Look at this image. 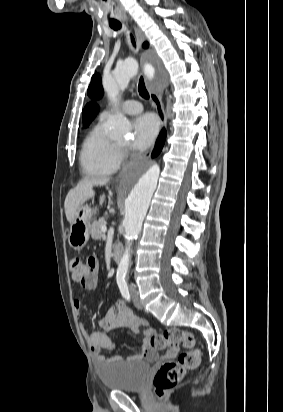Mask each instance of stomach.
Listing matches in <instances>:
<instances>
[{
	"mask_svg": "<svg viewBox=\"0 0 283 412\" xmlns=\"http://www.w3.org/2000/svg\"><path fill=\"white\" fill-rule=\"evenodd\" d=\"M92 215L93 209L89 205H82L78 208L68 235V242L72 248L80 249L87 244L90 236Z\"/></svg>",
	"mask_w": 283,
	"mask_h": 412,
	"instance_id": "stomach-1",
	"label": "stomach"
}]
</instances>
